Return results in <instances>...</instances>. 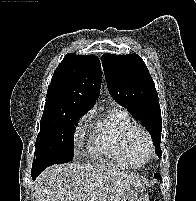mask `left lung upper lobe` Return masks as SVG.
Wrapping results in <instances>:
<instances>
[{
	"label": "left lung upper lobe",
	"mask_w": 196,
	"mask_h": 201,
	"mask_svg": "<svg viewBox=\"0 0 196 201\" xmlns=\"http://www.w3.org/2000/svg\"><path fill=\"white\" fill-rule=\"evenodd\" d=\"M101 60L112 98L147 128L156 154L161 157L162 118L158 93L144 61L137 54L110 53L102 55Z\"/></svg>",
	"instance_id": "left-lung-upper-lobe-1"
}]
</instances>
